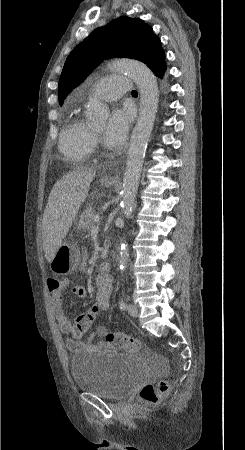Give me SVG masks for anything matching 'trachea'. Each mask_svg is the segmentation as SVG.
<instances>
[{"mask_svg":"<svg viewBox=\"0 0 245 450\" xmlns=\"http://www.w3.org/2000/svg\"><path fill=\"white\" fill-rule=\"evenodd\" d=\"M132 95H137V91L133 90Z\"/></svg>","mask_w":245,"mask_h":450,"instance_id":"trachea-1","label":"trachea"}]
</instances>
